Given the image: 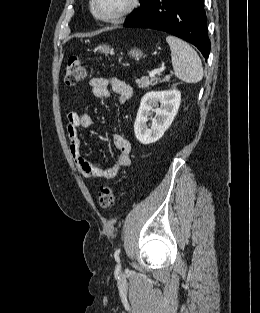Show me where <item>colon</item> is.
I'll return each mask as SVG.
<instances>
[{
	"label": "colon",
	"instance_id": "5ec220e1",
	"mask_svg": "<svg viewBox=\"0 0 260 313\" xmlns=\"http://www.w3.org/2000/svg\"><path fill=\"white\" fill-rule=\"evenodd\" d=\"M87 67L78 56H71L66 63L64 82L67 86H75L87 76ZM114 202L113 191L110 187H104L98 196L101 208L109 209Z\"/></svg>",
	"mask_w": 260,
	"mask_h": 313
}]
</instances>
